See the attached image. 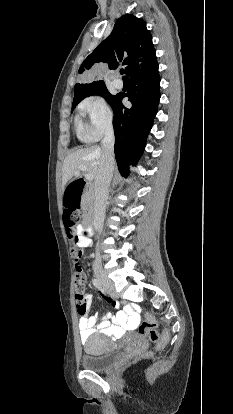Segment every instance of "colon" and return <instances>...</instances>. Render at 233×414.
<instances>
[{
	"instance_id": "1",
	"label": "colon",
	"mask_w": 233,
	"mask_h": 414,
	"mask_svg": "<svg viewBox=\"0 0 233 414\" xmlns=\"http://www.w3.org/2000/svg\"><path fill=\"white\" fill-rule=\"evenodd\" d=\"M80 220V213L76 212H69L68 210L65 211L64 214V222L67 228L68 237L71 240V247L70 253L73 259H77L78 261L83 254L82 248L78 246L76 241V234L74 231V227ZM85 288H86V276L81 269L80 275H75L74 279V295H75V303L76 307L79 305H84L85 297ZM80 314V312L78 311ZM156 321L154 316L151 313H147L145 316V320L139 326V333L145 337H147L150 341L156 343L157 349L164 348L166 344V336H161L158 330L156 329Z\"/></svg>"
}]
</instances>
